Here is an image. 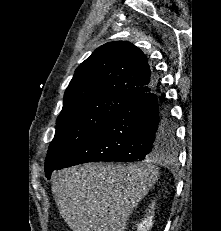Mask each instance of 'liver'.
<instances>
[{"label":"liver","mask_w":221,"mask_h":231,"mask_svg":"<svg viewBox=\"0 0 221 231\" xmlns=\"http://www.w3.org/2000/svg\"><path fill=\"white\" fill-rule=\"evenodd\" d=\"M157 180L158 169L150 163H88L54 173L52 192L73 231H124Z\"/></svg>","instance_id":"6515ba94"}]
</instances>
